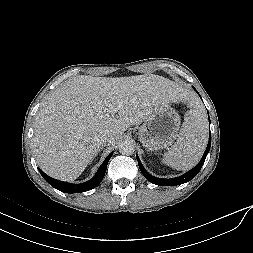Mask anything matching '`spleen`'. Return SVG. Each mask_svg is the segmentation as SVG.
<instances>
[{"label": "spleen", "mask_w": 253, "mask_h": 253, "mask_svg": "<svg viewBox=\"0 0 253 253\" xmlns=\"http://www.w3.org/2000/svg\"><path fill=\"white\" fill-rule=\"evenodd\" d=\"M207 119L198 105L186 112L178 138L162 162L176 170L194 167L202 157L207 143Z\"/></svg>", "instance_id": "3e777b00"}]
</instances>
